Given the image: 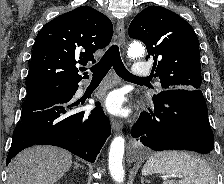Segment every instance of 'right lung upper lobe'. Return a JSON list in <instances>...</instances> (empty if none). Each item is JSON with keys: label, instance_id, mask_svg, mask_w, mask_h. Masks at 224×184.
<instances>
[{"label": "right lung upper lobe", "instance_id": "obj_1", "mask_svg": "<svg viewBox=\"0 0 224 184\" xmlns=\"http://www.w3.org/2000/svg\"><path fill=\"white\" fill-rule=\"evenodd\" d=\"M107 16L81 6L48 22L36 36L26 86L63 85L89 78L78 74L76 63L93 61V53L111 41Z\"/></svg>", "mask_w": 224, "mask_h": 184}]
</instances>
